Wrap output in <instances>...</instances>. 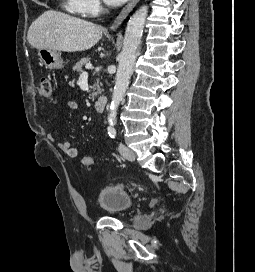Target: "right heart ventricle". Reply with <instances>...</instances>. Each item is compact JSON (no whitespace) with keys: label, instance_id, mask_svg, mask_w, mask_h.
<instances>
[{"label":"right heart ventricle","instance_id":"right-heart-ventricle-1","mask_svg":"<svg viewBox=\"0 0 255 272\" xmlns=\"http://www.w3.org/2000/svg\"><path fill=\"white\" fill-rule=\"evenodd\" d=\"M62 5L67 11L71 13H80L78 11L76 0H63Z\"/></svg>","mask_w":255,"mask_h":272}]
</instances>
